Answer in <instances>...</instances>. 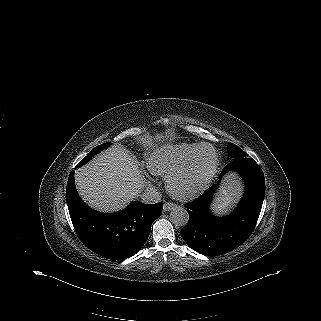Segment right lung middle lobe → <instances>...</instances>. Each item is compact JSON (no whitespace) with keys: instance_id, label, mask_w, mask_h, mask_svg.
I'll list each match as a JSON object with an SVG mask.
<instances>
[{"instance_id":"1","label":"right lung middle lobe","mask_w":321,"mask_h":321,"mask_svg":"<svg viewBox=\"0 0 321 321\" xmlns=\"http://www.w3.org/2000/svg\"><path fill=\"white\" fill-rule=\"evenodd\" d=\"M109 145H110V143H104V144H101V145L95 147L91 152H89V154L82 161H80V163L77 165V167H80V166L84 165L85 163H87L94 155H96L97 153H99L101 150L105 149Z\"/></svg>"}]
</instances>
